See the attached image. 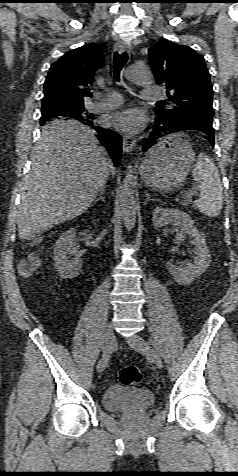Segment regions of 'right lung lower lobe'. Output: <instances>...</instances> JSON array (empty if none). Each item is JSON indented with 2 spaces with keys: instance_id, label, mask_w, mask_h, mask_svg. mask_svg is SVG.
<instances>
[{
  "instance_id": "98d812e1",
  "label": "right lung lower lobe",
  "mask_w": 238,
  "mask_h": 476,
  "mask_svg": "<svg viewBox=\"0 0 238 476\" xmlns=\"http://www.w3.org/2000/svg\"><path fill=\"white\" fill-rule=\"evenodd\" d=\"M81 122H83L85 125L93 127L96 131H98V133L100 134V136L98 137L99 141L102 145L106 147L109 154L113 158L114 164L117 165L119 163L122 152V143L120 135L115 133L114 131L106 130L101 127L95 126L93 120H82Z\"/></svg>"
}]
</instances>
